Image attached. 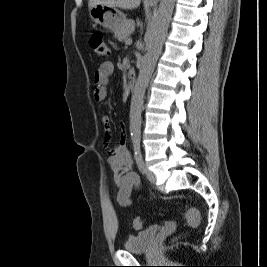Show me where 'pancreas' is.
<instances>
[{
    "mask_svg": "<svg viewBox=\"0 0 267 267\" xmlns=\"http://www.w3.org/2000/svg\"><path fill=\"white\" fill-rule=\"evenodd\" d=\"M135 29V22L133 20H127L121 27V29L115 33L116 37L120 41H126L127 38L133 33Z\"/></svg>",
    "mask_w": 267,
    "mask_h": 267,
    "instance_id": "1",
    "label": "pancreas"
}]
</instances>
